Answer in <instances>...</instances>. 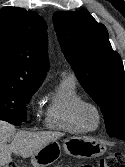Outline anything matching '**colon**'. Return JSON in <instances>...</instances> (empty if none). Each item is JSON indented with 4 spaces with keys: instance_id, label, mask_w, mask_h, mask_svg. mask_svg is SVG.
<instances>
[{
    "instance_id": "obj_1",
    "label": "colon",
    "mask_w": 125,
    "mask_h": 167,
    "mask_svg": "<svg viewBox=\"0 0 125 167\" xmlns=\"http://www.w3.org/2000/svg\"><path fill=\"white\" fill-rule=\"evenodd\" d=\"M7 167H27L26 165L14 162L7 165ZM82 167H93L84 165ZM99 167H125V156L120 153L111 154L101 160Z\"/></svg>"
}]
</instances>
